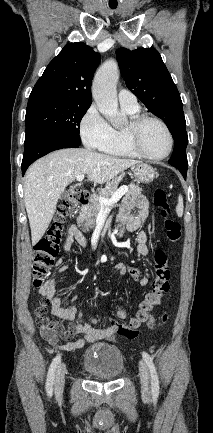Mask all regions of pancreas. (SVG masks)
<instances>
[{
	"mask_svg": "<svg viewBox=\"0 0 213 433\" xmlns=\"http://www.w3.org/2000/svg\"><path fill=\"white\" fill-rule=\"evenodd\" d=\"M121 181V177L113 179L108 182L104 189L99 193V196H92L89 203L81 208L79 216L77 217V223L81 226L84 232H88L89 229L94 228L97 215L101 209V205L98 201L99 197L111 198L113 193L117 190V187ZM142 189L133 183L128 185V192L126 196H139Z\"/></svg>",
	"mask_w": 213,
	"mask_h": 433,
	"instance_id": "obj_1",
	"label": "pancreas"
}]
</instances>
